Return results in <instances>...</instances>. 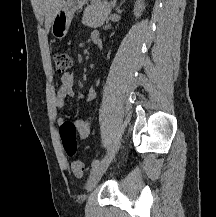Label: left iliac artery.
<instances>
[{
	"label": "left iliac artery",
	"instance_id": "1",
	"mask_svg": "<svg viewBox=\"0 0 216 217\" xmlns=\"http://www.w3.org/2000/svg\"><path fill=\"white\" fill-rule=\"evenodd\" d=\"M99 164H100V160L99 159L94 160L92 162V164H91L92 169L95 168V167H97Z\"/></svg>",
	"mask_w": 216,
	"mask_h": 217
}]
</instances>
